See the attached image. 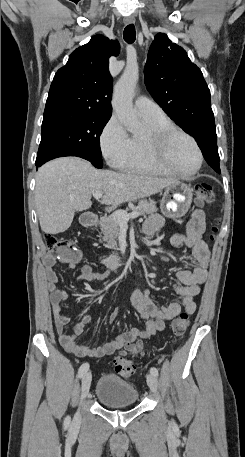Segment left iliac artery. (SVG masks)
<instances>
[{
    "label": "left iliac artery",
    "mask_w": 245,
    "mask_h": 457,
    "mask_svg": "<svg viewBox=\"0 0 245 457\" xmlns=\"http://www.w3.org/2000/svg\"><path fill=\"white\" fill-rule=\"evenodd\" d=\"M150 373H151V374H154L155 376H158V369H157L156 367H152V368L150 369Z\"/></svg>",
    "instance_id": "left-iliac-artery-1"
}]
</instances>
